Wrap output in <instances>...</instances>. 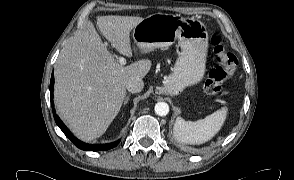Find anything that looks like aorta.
<instances>
[{
	"mask_svg": "<svg viewBox=\"0 0 294 180\" xmlns=\"http://www.w3.org/2000/svg\"><path fill=\"white\" fill-rule=\"evenodd\" d=\"M155 113L159 116H166L169 113V105L166 102L156 103Z\"/></svg>",
	"mask_w": 294,
	"mask_h": 180,
	"instance_id": "aorta-1",
	"label": "aorta"
}]
</instances>
